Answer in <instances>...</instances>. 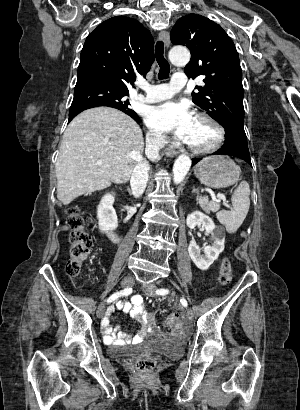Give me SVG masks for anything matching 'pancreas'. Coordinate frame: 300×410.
Masks as SVG:
<instances>
[{"label":"pancreas","mask_w":300,"mask_h":410,"mask_svg":"<svg viewBox=\"0 0 300 410\" xmlns=\"http://www.w3.org/2000/svg\"><path fill=\"white\" fill-rule=\"evenodd\" d=\"M199 203L201 208L206 212L209 213L211 210V202H209L206 198H200Z\"/></svg>","instance_id":"1"}]
</instances>
